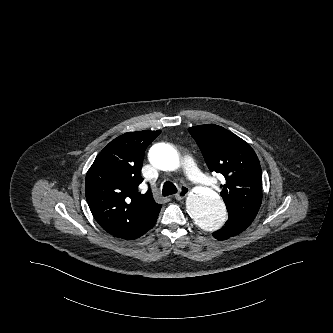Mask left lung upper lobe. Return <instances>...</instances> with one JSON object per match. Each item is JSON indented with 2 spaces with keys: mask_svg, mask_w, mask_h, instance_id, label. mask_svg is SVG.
<instances>
[{
  "mask_svg": "<svg viewBox=\"0 0 333 333\" xmlns=\"http://www.w3.org/2000/svg\"><path fill=\"white\" fill-rule=\"evenodd\" d=\"M210 171L221 173L226 183L221 196L228 216L253 221L262 201V170L257 155L244 140L218 125L189 128Z\"/></svg>",
  "mask_w": 333,
  "mask_h": 333,
  "instance_id": "obj_1",
  "label": "left lung upper lobe"
}]
</instances>
